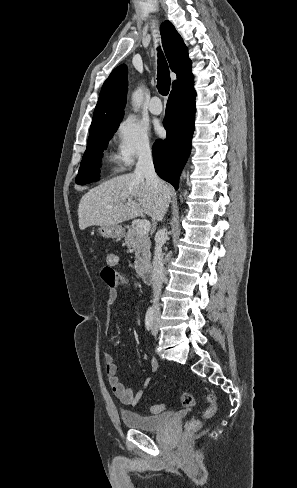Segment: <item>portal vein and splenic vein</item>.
Returning <instances> with one entry per match:
<instances>
[{
    "instance_id": "obj_1",
    "label": "portal vein and splenic vein",
    "mask_w": 297,
    "mask_h": 488,
    "mask_svg": "<svg viewBox=\"0 0 297 488\" xmlns=\"http://www.w3.org/2000/svg\"><path fill=\"white\" fill-rule=\"evenodd\" d=\"M131 201V199H128ZM137 232L140 234H146L151 229V224L148 220H141L136 226Z\"/></svg>"
}]
</instances>
